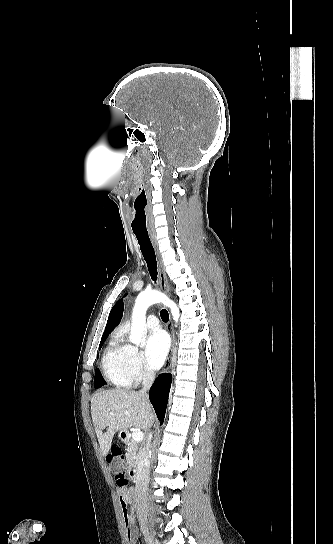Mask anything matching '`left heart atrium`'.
<instances>
[{"label":"left heart atrium","instance_id":"obj_1","mask_svg":"<svg viewBox=\"0 0 333 544\" xmlns=\"http://www.w3.org/2000/svg\"><path fill=\"white\" fill-rule=\"evenodd\" d=\"M169 349V339L162 331H155L146 340L145 356L149 366L159 369L164 363Z\"/></svg>","mask_w":333,"mask_h":544}]
</instances>
